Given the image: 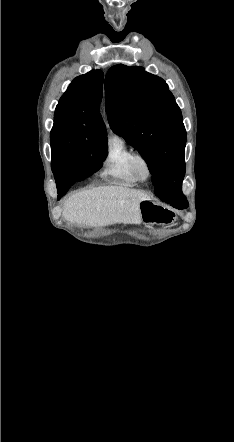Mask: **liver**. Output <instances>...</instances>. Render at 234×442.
Here are the masks:
<instances>
[{
  "instance_id": "liver-1",
  "label": "liver",
  "mask_w": 234,
  "mask_h": 442,
  "mask_svg": "<svg viewBox=\"0 0 234 442\" xmlns=\"http://www.w3.org/2000/svg\"><path fill=\"white\" fill-rule=\"evenodd\" d=\"M144 200H149L146 194L127 187H96L69 197L64 204L63 217L87 227L140 224L139 203Z\"/></svg>"
}]
</instances>
